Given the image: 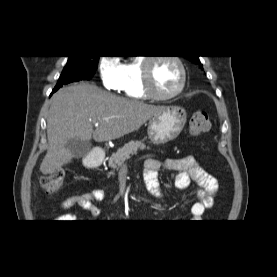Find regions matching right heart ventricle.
Here are the masks:
<instances>
[{
  "label": "right heart ventricle",
  "mask_w": 277,
  "mask_h": 277,
  "mask_svg": "<svg viewBox=\"0 0 277 277\" xmlns=\"http://www.w3.org/2000/svg\"><path fill=\"white\" fill-rule=\"evenodd\" d=\"M142 58H135L122 66L123 83L121 91L125 96L135 100H145L148 96L142 88Z\"/></svg>",
  "instance_id": "1"
}]
</instances>
